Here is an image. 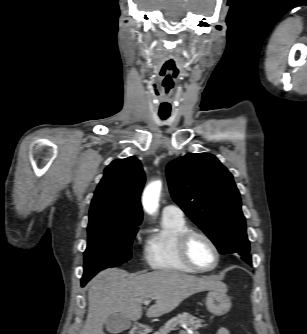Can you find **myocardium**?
I'll return each instance as SVG.
<instances>
[{
  "instance_id": "f54148a6",
  "label": "myocardium",
  "mask_w": 307,
  "mask_h": 334,
  "mask_svg": "<svg viewBox=\"0 0 307 334\" xmlns=\"http://www.w3.org/2000/svg\"><path fill=\"white\" fill-rule=\"evenodd\" d=\"M194 237H200L203 238L205 241H207L210 246L213 248L214 252H215V262L211 267L208 268H202L200 266H198L192 259L191 255H190V243L192 241V239ZM177 248H178V252L179 255L182 259V261L189 266L190 268L194 269L197 272H210L215 270L219 263H220V259H221V252L220 249L218 247V245L216 244V242L205 232L200 231V230H196V229H187L186 231H184L178 238V242H177Z\"/></svg>"
}]
</instances>
